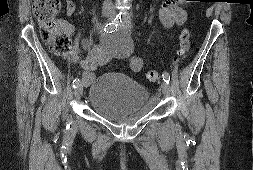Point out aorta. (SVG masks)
<instances>
[{
    "label": "aorta",
    "mask_w": 253,
    "mask_h": 170,
    "mask_svg": "<svg viewBox=\"0 0 253 170\" xmlns=\"http://www.w3.org/2000/svg\"><path fill=\"white\" fill-rule=\"evenodd\" d=\"M125 15H126V13H123V14H122V16H125Z\"/></svg>",
    "instance_id": "aorta-1"
}]
</instances>
